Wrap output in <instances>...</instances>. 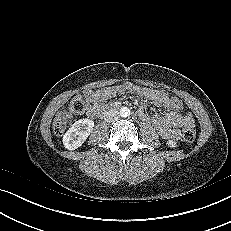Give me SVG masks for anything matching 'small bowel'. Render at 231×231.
Returning <instances> with one entry per match:
<instances>
[{"mask_svg": "<svg viewBox=\"0 0 231 231\" xmlns=\"http://www.w3.org/2000/svg\"><path fill=\"white\" fill-rule=\"evenodd\" d=\"M127 91L134 92L142 97V105L137 110V115L144 121L153 124L160 136L164 139L177 140L181 136V128L195 125L191 113H182L174 109L170 104V98L166 93L159 90L140 87L131 83H124L102 90H87L85 96L88 101L87 113L89 116H95L105 107L104 101L116 95L124 94ZM152 103L157 107L170 110L165 115L154 114L150 116L146 111V104Z\"/></svg>", "mask_w": 231, "mask_h": 231, "instance_id": "obj_1", "label": "small bowel"}]
</instances>
